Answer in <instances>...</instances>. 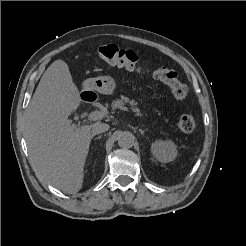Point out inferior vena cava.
Segmentation results:
<instances>
[{"instance_id":"1","label":"inferior vena cava","mask_w":246,"mask_h":246,"mask_svg":"<svg viewBox=\"0 0 246 246\" xmlns=\"http://www.w3.org/2000/svg\"><path fill=\"white\" fill-rule=\"evenodd\" d=\"M109 129V125L101 122H97L92 125L91 133L92 135L100 134L106 132Z\"/></svg>"}]
</instances>
